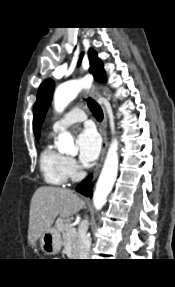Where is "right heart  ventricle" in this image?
I'll use <instances>...</instances> for the list:
<instances>
[{
	"mask_svg": "<svg viewBox=\"0 0 175 287\" xmlns=\"http://www.w3.org/2000/svg\"><path fill=\"white\" fill-rule=\"evenodd\" d=\"M40 170L46 183L63 185L68 179L66 157L56 151L52 145L46 144L39 159Z\"/></svg>",
	"mask_w": 175,
	"mask_h": 287,
	"instance_id": "obj_1",
	"label": "right heart ventricle"
}]
</instances>
